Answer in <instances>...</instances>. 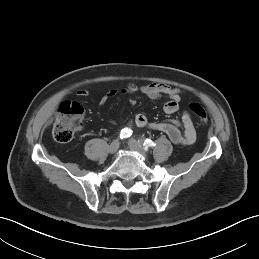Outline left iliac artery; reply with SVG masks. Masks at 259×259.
<instances>
[{"label": "left iliac artery", "mask_w": 259, "mask_h": 259, "mask_svg": "<svg viewBox=\"0 0 259 259\" xmlns=\"http://www.w3.org/2000/svg\"><path fill=\"white\" fill-rule=\"evenodd\" d=\"M155 145L156 144L150 139H145L144 142H143V146H144L145 150H148L149 147H153Z\"/></svg>", "instance_id": "1"}]
</instances>
